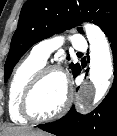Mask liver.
I'll use <instances>...</instances> for the list:
<instances>
[{
    "label": "liver",
    "instance_id": "obj_1",
    "mask_svg": "<svg viewBox=\"0 0 117 136\" xmlns=\"http://www.w3.org/2000/svg\"><path fill=\"white\" fill-rule=\"evenodd\" d=\"M5 136H45V134L29 127H9L5 131Z\"/></svg>",
    "mask_w": 117,
    "mask_h": 136
}]
</instances>
